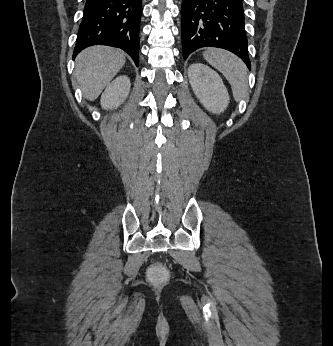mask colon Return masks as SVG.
<instances>
[{"mask_svg":"<svg viewBox=\"0 0 333 346\" xmlns=\"http://www.w3.org/2000/svg\"><path fill=\"white\" fill-rule=\"evenodd\" d=\"M156 262L159 260L156 259ZM146 275L150 283H154L155 288H166L167 280L171 279L169 269H166V264H151V269L146 270Z\"/></svg>","mask_w":333,"mask_h":346,"instance_id":"colon-1","label":"colon"}]
</instances>
